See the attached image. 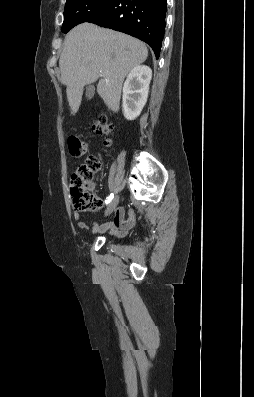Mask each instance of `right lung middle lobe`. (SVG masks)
Here are the masks:
<instances>
[{
	"mask_svg": "<svg viewBox=\"0 0 254 397\" xmlns=\"http://www.w3.org/2000/svg\"><path fill=\"white\" fill-rule=\"evenodd\" d=\"M111 1L112 0H67L61 31L67 33L74 26L95 17L101 13Z\"/></svg>",
	"mask_w": 254,
	"mask_h": 397,
	"instance_id": "1",
	"label": "right lung middle lobe"
}]
</instances>
